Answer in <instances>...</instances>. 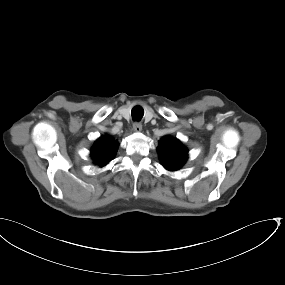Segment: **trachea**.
<instances>
[{
  "instance_id": "3493384b",
  "label": "trachea",
  "mask_w": 285,
  "mask_h": 285,
  "mask_svg": "<svg viewBox=\"0 0 285 285\" xmlns=\"http://www.w3.org/2000/svg\"><path fill=\"white\" fill-rule=\"evenodd\" d=\"M131 114H132V119H133L134 121H139V120L143 117V115H144V110H143V108L140 107V106H135V107L132 109Z\"/></svg>"
}]
</instances>
